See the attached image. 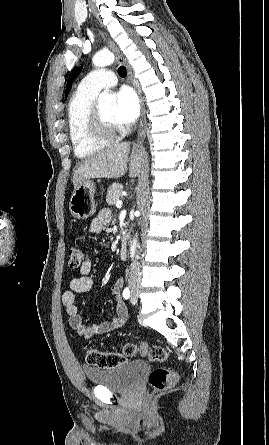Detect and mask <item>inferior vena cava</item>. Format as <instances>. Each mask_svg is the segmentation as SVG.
Here are the masks:
<instances>
[{"instance_id":"602c4592","label":"inferior vena cava","mask_w":269,"mask_h":445,"mask_svg":"<svg viewBox=\"0 0 269 445\" xmlns=\"http://www.w3.org/2000/svg\"><path fill=\"white\" fill-rule=\"evenodd\" d=\"M137 259L138 257H135L131 264L130 281H137L141 278L140 265Z\"/></svg>"}]
</instances>
